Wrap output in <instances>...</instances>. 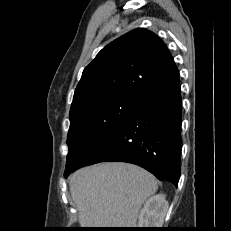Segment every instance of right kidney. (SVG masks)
Returning <instances> with one entry per match:
<instances>
[{"label": "right kidney", "instance_id": "1", "mask_svg": "<svg viewBox=\"0 0 231 231\" xmlns=\"http://www.w3.org/2000/svg\"><path fill=\"white\" fill-rule=\"evenodd\" d=\"M168 210V202L164 194L150 197L139 215L140 228H161Z\"/></svg>", "mask_w": 231, "mask_h": 231}]
</instances>
